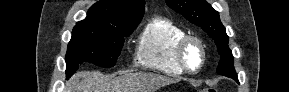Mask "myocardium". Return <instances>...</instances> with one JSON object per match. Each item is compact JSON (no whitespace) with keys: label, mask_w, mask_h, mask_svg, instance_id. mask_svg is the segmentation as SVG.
I'll use <instances>...</instances> for the list:
<instances>
[{"label":"myocardium","mask_w":289,"mask_h":92,"mask_svg":"<svg viewBox=\"0 0 289 92\" xmlns=\"http://www.w3.org/2000/svg\"><path fill=\"white\" fill-rule=\"evenodd\" d=\"M191 44H196L199 47L200 52H201L200 63L194 69L190 68L186 62V51H187V48L189 47V45H191ZM206 56H207V52H206L205 43L198 36L185 35L178 44L177 58H178V61H179L181 68L187 73H191V74L198 73L203 68V66L206 62Z\"/></svg>","instance_id":"myocardium-1"}]
</instances>
